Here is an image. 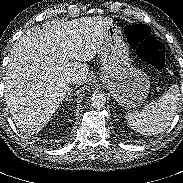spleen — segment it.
<instances>
[{
  "label": "spleen",
  "mask_w": 183,
  "mask_h": 183,
  "mask_svg": "<svg viewBox=\"0 0 183 183\" xmlns=\"http://www.w3.org/2000/svg\"><path fill=\"white\" fill-rule=\"evenodd\" d=\"M179 96V87L173 85L158 101L147 104L139 112L126 113L125 118L136 132L142 135H157L170 125L177 110Z\"/></svg>",
  "instance_id": "obj_1"
}]
</instances>
